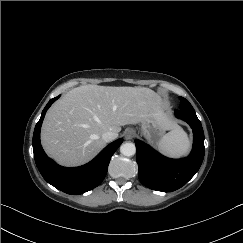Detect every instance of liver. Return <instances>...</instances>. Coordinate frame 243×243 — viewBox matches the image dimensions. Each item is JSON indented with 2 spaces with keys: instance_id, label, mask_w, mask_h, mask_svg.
<instances>
[{
  "instance_id": "liver-1",
  "label": "liver",
  "mask_w": 243,
  "mask_h": 243,
  "mask_svg": "<svg viewBox=\"0 0 243 243\" xmlns=\"http://www.w3.org/2000/svg\"><path fill=\"white\" fill-rule=\"evenodd\" d=\"M156 105L154 92L145 87L74 88L48 110L41 129L42 146L61 165H82L105 147V132L118 136L121 126L141 123Z\"/></svg>"
}]
</instances>
